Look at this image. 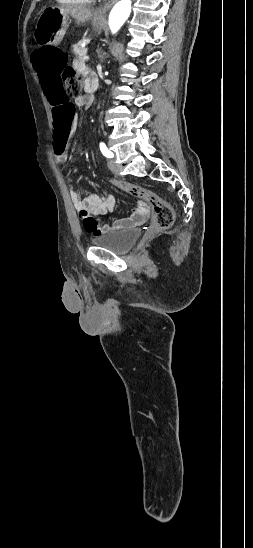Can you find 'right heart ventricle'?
I'll list each match as a JSON object with an SVG mask.
<instances>
[{
  "instance_id": "right-heart-ventricle-1",
  "label": "right heart ventricle",
  "mask_w": 253,
  "mask_h": 548,
  "mask_svg": "<svg viewBox=\"0 0 253 548\" xmlns=\"http://www.w3.org/2000/svg\"><path fill=\"white\" fill-rule=\"evenodd\" d=\"M60 4L65 5H78V4H87L90 3L92 0H56Z\"/></svg>"
}]
</instances>
